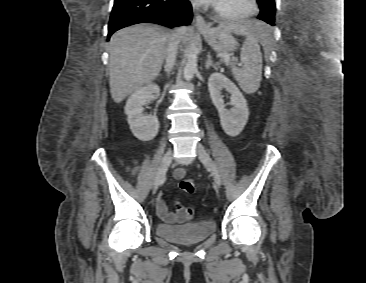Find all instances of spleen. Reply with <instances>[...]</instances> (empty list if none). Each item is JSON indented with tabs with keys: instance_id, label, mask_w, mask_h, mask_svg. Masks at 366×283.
I'll return each instance as SVG.
<instances>
[{
	"instance_id": "3e777b00",
	"label": "spleen",
	"mask_w": 366,
	"mask_h": 283,
	"mask_svg": "<svg viewBox=\"0 0 366 283\" xmlns=\"http://www.w3.org/2000/svg\"><path fill=\"white\" fill-rule=\"evenodd\" d=\"M254 26L259 27V24ZM258 42L257 34L247 35L240 53L244 68H238L234 63L231 64L234 78L239 83L240 88L248 94L258 90L262 78V54Z\"/></svg>"
}]
</instances>
